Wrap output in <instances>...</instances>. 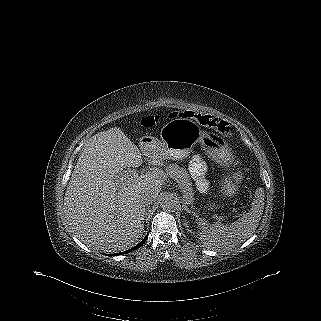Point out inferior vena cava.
Masks as SVG:
<instances>
[{
	"label": "inferior vena cava",
	"mask_w": 321,
	"mask_h": 321,
	"mask_svg": "<svg viewBox=\"0 0 321 321\" xmlns=\"http://www.w3.org/2000/svg\"><path fill=\"white\" fill-rule=\"evenodd\" d=\"M155 199V194L150 189L145 188L140 195V202L144 206L150 205Z\"/></svg>",
	"instance_id": "1"
}]
</instances>
